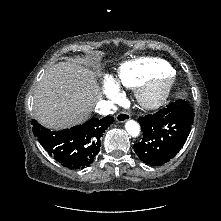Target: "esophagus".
<instances>
[{
    "instance_id": "1",
    "label": "esophagus",
    "mask_w": 221,
    "mask_h": 221,
    "mask_svg": "<svg viewBox=\"0 0 221 221\" xmlns=\"http://www.w3.org/2000/svg\"><path fill=\"white\" fill-rule=\"evenodd\" d=\"M129 119H130V114L125 111H121L116 115V121L119 123H123Z\"/></svg>"
}]
</instances>
